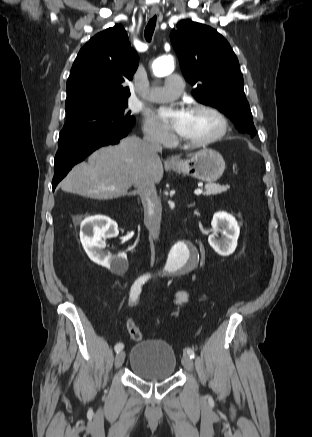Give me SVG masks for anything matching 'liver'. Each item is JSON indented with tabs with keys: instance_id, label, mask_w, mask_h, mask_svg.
<instances>
[{
	"instance_id": "1",
	"label": "liver",
	"mask_w": 312,
	"mask_h": 437,
	"mask_svg": "<svg viewBox=\"0 0 312 437\" xmlns=\"http://www.w3.org/2000/svg\"><path fill=\"white\" fill-rule=\"evenodd\" d=\"M163 173L157 152H151L149 144L139 137L128 136L118 145L99 148L87 162L76 165L60 187L87 198L109 200L125 196L139 178L159 183Z\"/></svg>"
}]
</instances>
